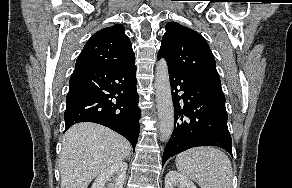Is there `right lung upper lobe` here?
<instances>
[{
	"label": "right lung upper lobe",
	"instance_id": "cb5924a9",
	"mask_svg": "<svg viewBox=\"0 0 292 188\" xmlns=\"http://www.w3.org/2000/svg\"><path fill=\"white\" fill-rule=\"evenodd\" d=\"M135 54L124 27L119 24L96 32L85 44L76 66H128Z\"/></svg>",
	"mask_w": 292,
	"mask_h": 188
}]
</instances>
